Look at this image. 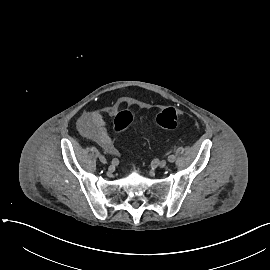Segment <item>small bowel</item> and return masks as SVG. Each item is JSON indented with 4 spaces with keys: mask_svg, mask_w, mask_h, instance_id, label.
Instances as JSON below:
<instances>
[{
    "mask_svg": "<svg viewBox=\"0 0 270 270\" xmlns=\"http://www.w3.org/2000/svg\"><path fill=\"white\" fill-rule=\"evenodd\" d=\"M128 102L124 99L117 101L116 105L104 108L109 116H113L117 107L127 105ZM81 134L102 147L106 152H113L114 145L107 132L106 124L102 118L101 111L91 110L83 114L79 121Z\"/></svg>",
    "mask_w": 270,
    "mask_h": 270,
    "instance_id": "obj_1",
    "label": "small bowel"
}]
</instances>
